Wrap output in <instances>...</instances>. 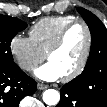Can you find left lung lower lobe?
Instances as JSON below:
<instances>
[{
	"label": "left lung lower lobe",
	"instance_id": "left-lung-lower-lobe-1",
	"mask_svg": "<svg viewBox=\"0 0 107 107\" xmlns=\"http://www.w3.org/2000/svg\"><path fill=\"white\" fill-rule=\"evenodd\" d=\"M60 94L56 107H107L106 67L96 73L90 86L71 81L62 87Z\"/></svg>",
	"mask_w": 107,
	"mask_h": 107
}]
</instances>
